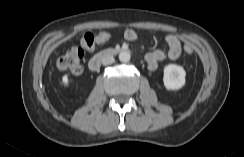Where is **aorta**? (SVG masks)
Segmentation results:
<instances>
[{"instance_id": "obj_1", "label": "aorta", "mask_w": 244, "mask_h": 157, "mask_svg": "<svg viewBox=\"0 0 244 157\" xmlns=\"http://www.w3.org/2000/svg\"><path fill=\"white\" fill-rule=\"evenodd\" d=\"M130 58H131L130 53L127 52V51H122V52H120V54H119V60H120L121 62H123V63H127V62H129V61H130Z\"/></svg>"}]
</instances>
